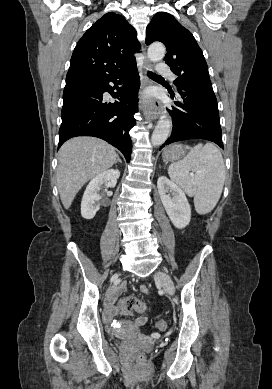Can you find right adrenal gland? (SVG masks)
Instances as JSON below:
<instances>
[{"mask_svg": "<svg viewBox=\"0 0 272 389\" xmlns=\"http://www.w3.org/2000/svg\"><path fill=\"white\" fill-rule=\"evenodd\" d=\"M117 162L122 163V162H121V159L119 158V156H117L116 163H117Z\"/></svg>", "mask_w": 272, "mask_h": 389, "instance_id": "right-adrenal-gland-1", "label": "right adrenal gland"}]
</instances>
